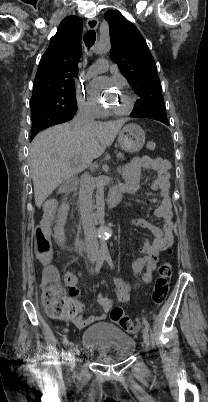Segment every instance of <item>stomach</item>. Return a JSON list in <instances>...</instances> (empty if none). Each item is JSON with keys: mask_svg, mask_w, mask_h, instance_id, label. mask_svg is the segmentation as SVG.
Instances as JSON below:
<instances>
[{"mask_svg": "<svg viewBox=\"0 0 208 402\" xmlns=\"http://www.w3.org/2000/svg\"><path fill=\"white\" fill-rule=\"evenodd\" d=\"M118 142L124 152H139L145 144V132L137 124H127L121 130Z\"/></svg>", "mask_w": 208, "mask_h": 402, "instance_id": "obj_1", "label": "stomach"}]
</instances>
